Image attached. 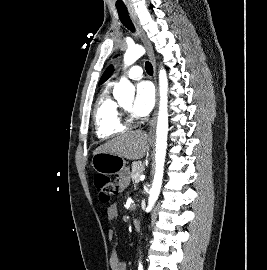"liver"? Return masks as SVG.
Masks as SVG:
<instances>
[{
  "label": "liver",
  "mask_w": 267,
  "mask_h": 270,
  "mask_svg": "<svg viewBox=\"0 0 267 270\" xmlns=\"http://www.w3.org/2000/svg\"><path fill=\"white\" fill-rule=\"evenodd\" d=\"M146 147L147 135L145 132L140 130L128 131L119 134L96 148L93 155L105 152L115 154L129 160H137L145 156Z\"/></svg>",
  "instance_id": "liver-1"
}]
</instances>
